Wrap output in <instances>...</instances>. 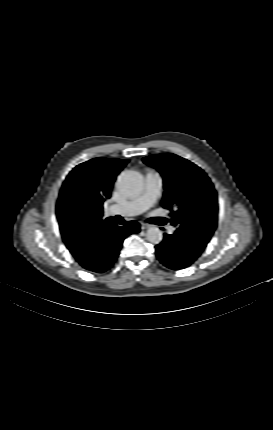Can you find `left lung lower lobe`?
<instances>
[{
    "instance_id": "0a47b994",
    "label": "left lung lower lobe",
    "mask_w": 273,
    "mask_h": 430,
    "mask_svg": "<svg viewBox=\"0 0 273 430\" xmlns=\"http://www.w3.org/2000/svg\"><path fill=\"white\" fill-rule=\"evenodd\" d=\"M202 252L200 247L177 230L174 234H165L163 241L156 245L157 258L173 270L190 266Z\"/></svg>"
}]
</instances>
